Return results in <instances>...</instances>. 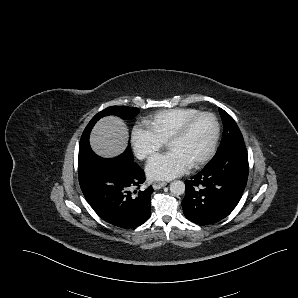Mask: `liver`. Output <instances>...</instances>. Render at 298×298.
Returning <instances> with one entry per match:
<instances>
[{"label": "liver", "mask_w": 298, "mask_h": 298, "mask_svg": "<svg viewBox=\"0 0 298 298\" xmlns=\"http://www.w3.org/2000/svg\"><path fill=\"white\" fill-rule=\"evenodd\" d=\"M127 139L128 129L123 120L115 116H107L94 126L90 144L96 154L109 158L125 150Z\"/></svg>", "instance_id": "obj_1"}]
</instances>
